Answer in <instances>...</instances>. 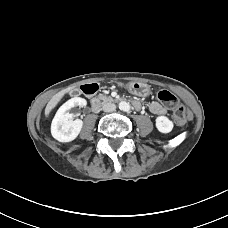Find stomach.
Instances as JSON below:
<instances>
[{
	"mask_svg": "<svg viewBox=\"0 0 228 228\" xmlns=\"http://www.w3.org/2000/svg\"><path fill=\"white\" fill-rule=\"evenodd\" d=\"M126 88L134 95L146 97L150 94V88L146 83L132 81L126 85Z\"/></svg>",
	"mask_w": 228,
	"mask_h": 228,
	"instance_id": "0dacf381",
	"label": "stomach"
}]
</instances>
